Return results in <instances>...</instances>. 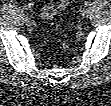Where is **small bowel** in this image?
<instances>
[{
  "instance_id": "obj_1",
  "label": "small bowel",
  "mask_w": 111,
  "mask_h": 106,
  "mask_svg": "<svg viewBox=\"0 0 111 106\" xmlns=\"http://www.w3.org/2000/svg\"><path fill=\"white\" fill-rule=\"evenodd\" d=\"M68 0H60L56 3H49L43 7L41 16L45 19L53 18L58 12L63 11L68 6Z\"/></svg>"
}]
</instances>
